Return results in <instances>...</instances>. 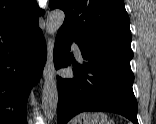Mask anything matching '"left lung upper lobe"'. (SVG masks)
<instances>
[{"instance_id": "obj_1", "label": "left lung upper lobe", "mask_w": 156, "mask_h": 124, "mask_svg": "<svg viewBox=\"0 0 156 124\" xmlns=\"http://www.w3.org/2000/svg\"><path fill=\"white\" fill-rule=\"evenodd\" d=\"M49 6L65 12L59 31L71 36L83 52L130 63L132 38L123 0H50Z\"/></svg>"}]
</instances>
